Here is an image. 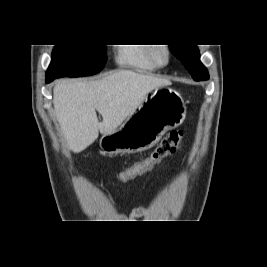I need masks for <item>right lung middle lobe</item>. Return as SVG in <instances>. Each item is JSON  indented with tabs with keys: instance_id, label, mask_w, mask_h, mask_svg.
Wrapping results in <instances>:
<instances>
[{
	"instance_id": "1",
	"label": "right lung middle lobe",
	"mask_w": 267,
	"mask_h": 267,
	"mask_svg": "<svg viewBox=\"0 0 267 267\" xmlns=\"http://www.w3.org/2000/svg\"><path fill=\"white\" fill-rule=\"evenodd\" d=\"M105 63V45H56L46 78L93 75L99 73Z\"/></svg>"
}]
</instances>
